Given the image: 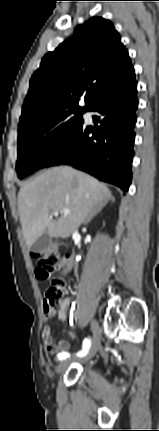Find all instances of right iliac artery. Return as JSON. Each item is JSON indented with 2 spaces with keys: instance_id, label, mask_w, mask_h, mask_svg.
<instances>
[{
  "instance_id": "obj_1",
  "label": "right iliac artery",
  "mask_w": 159,
  "mask_h": 431,
  "mask_svg": "<svg viewBox=\"0 0 159 431\" xmlns=\"http://www.w3.org/2000/svg\"><path fill=\"white\" fill-rule=\"evenodd\" d=\"M90 346H91V341H90V339L86 338V339L83 341V347H82V350H81V351H79V352L77 353V356H78V357H83V356H85V355L88 353V351H89V349H90ZM69 356H70V354H69L68 352H62V353H60V354L58 355V359H59V360H63V359L68 358Z\"/></svg>"
}]
</instances>
